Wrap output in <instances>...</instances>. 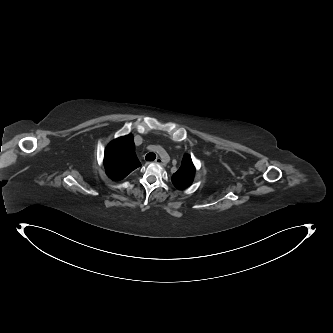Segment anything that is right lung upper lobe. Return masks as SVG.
<instances>
[{
  "instance_id": "cb5924a9",
  "label": "right lung upper lobe",
  "mask_w": 333,
  "mask_h": 333,
  "mask_svg": "<svg viewBox=\"0 0 333 333\" xmlns=\"http://www.w3.org/2000/svg\"><path fill=\"white\" fill-rule=\"evenodd\" d=\"M139 166L141 164L136 157L134 138L131 134L113 140L106 147L104 167L111 179L122 180Z\"/></svg>"
}]
</instances>
